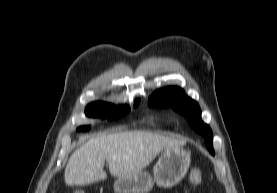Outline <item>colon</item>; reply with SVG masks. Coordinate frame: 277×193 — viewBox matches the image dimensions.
<instances>
[{"label":"colon","instance_id":"1","mask_svg":"<svg viewBox=\"0 0 277 193\" xmlns=\"http://www.w3.org/2000/svg\"><path fill=\"white\" fill-rule=\"evenodd\" d=\"M202 181V174L201 171L199 169H193L191 170L190 174H189V178H188V183L190 186H197L201 183ZM73 193H86L83 190H77Z\"/></svg>","mask_w":277,"mask_h":193}]
</instances>
